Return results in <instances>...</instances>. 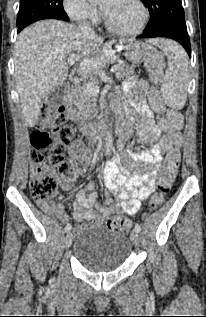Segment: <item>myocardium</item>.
<instances>
[{
  "instance_id": "1",
  "label": "myocardium",
  "mask_w": 206,
  "mask_h": 317,
  "mask_svg": "<svg viewBox=\"0 0 206 317\" xmlns=\"http://www.w3.org/2000/svg\"><path fill=\"white\" fill-rule=\"evenodd\" d=\"M133 2H135L138 5V7L140 8L142 12V19L140 24L135 29H132V30H124V29L117 28L108 20L104 10H102V19H103L105 27L109 31L120 36H135L140 34L145 29L150 17L149 10L142 0H133Z\"/></svg>"
}]
</instances>
